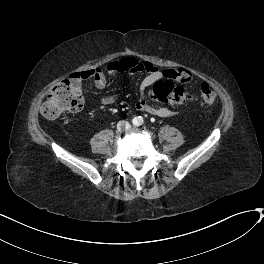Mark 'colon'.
Returning a JSON list of instances; mask_svg holds the SVG:
<instances>
[{
    "label": "colon",
    "mask_w": 264,
    "mask_h": 264,
    "mask_svg": "<svg viewBox=\"0 0 264 264\" xmlns=\"http://www.w3.org/2000/svg\"><path fill=\"white\" fill-rule=\"evenodd\" d=\"M165 78L158 81L152 91L153 97L164 103L183 104L190 99V92L175 82H183L187 76L178 67L164 70ZM202 100L211 105L215 102L216 94L213 89L204 84L201 87ZM85 94L80 80L66 79L53 87L47 99L42 103L41 112L47 119H57L68 112H77L84 108Z\"/></svg>",
    "instance_id": "1"
}]
</instances>
